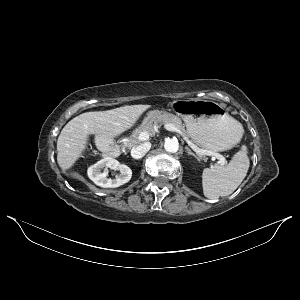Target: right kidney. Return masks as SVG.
Here are the masks:
<instances>
[{"label": "right kidney", "mask_w": 300, "mask_h": 300, "mask_svg": "<svg viewBox=\"0 0 300 300\" xmlns=\"http://www.w3.org/2000/svg\"><path fill=\"white\" fill-rule=\"evenodd\" d=\"M110 168L112 170L120 171V174L116 175L114 179L108 178L107 173L102 170ZM88 177L98 186L103 188H116L127 183L132 177V170L124 165L120 164L116 159L106 157L90 166L87 170Z\"/></svg>", "instance_id": "ca27d5eb"}]
</instances>
